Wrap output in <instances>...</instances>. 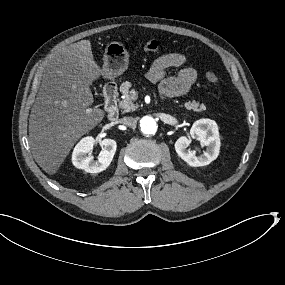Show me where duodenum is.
Listing matches in <instances>:
<instances>
[{
	"instance_id": "1",
	"label": "duodenum",
	"mask_w": 285,
	"mask_h": 285,
	"mask_svg": "<svg viewBox=\"0 0 285 285\" xmlns=\"http://www.w3.org/2000/svg\"><path fill=\"white\" fill-rule=\"evenodd\" d=\"M117 86L115 84H108L103 91V98L105 108L107 111V117L110 121L117 120L119 116V108L116 101Z\"/></svg>"
}]
</instances>
